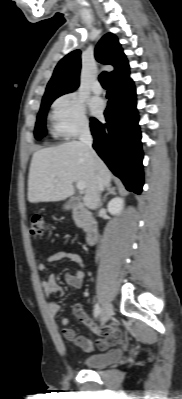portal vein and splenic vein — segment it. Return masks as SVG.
Listing matches in <instances>:
<instances>
[{"instance_id": "1", "label": "portal vein and splenic vein", "mask_w": 182, "mask_h": 399, "mask_svg": "<svg viewBox=\"0 0 182 399\" xmlns=\"http://www.w3.org/2000/svg\"><path fill=\"white\" fill-rule=\"evenodd\" d=\"M77 188L80 190V191H83L84 189H85V184H84V182H82V181H79L78 183H77Z\"/></svg>"}]
</instances>
